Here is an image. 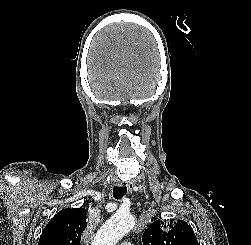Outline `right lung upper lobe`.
<instances>
[{
    "label": "right lung upper lobe",
    "mask_w": 251,
    "mask_h": 245,
    "mask_svg": "<svg viewBox=\"0 0 251 245\" xmlns=\"http://www.w3.org/2000/svg\"><path fill=\"white\" fill-rule=\"evenodd\" d=\"M86 226L84 208L61 210L42 231L38 245H80Z\"/></svg>",
    "instance_id": "right-lung-upper-lobe-1"
}]
</instances>
